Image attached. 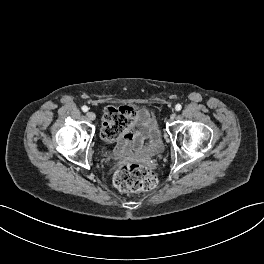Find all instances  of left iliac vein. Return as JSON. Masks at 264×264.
<instances>
[{
  "instance_id": "4c4485c4",
  "label": "left iliac vein",
  "mask_w": 264,
  "mask_h": 264,
  "mask_svg": "<svg viewBox=\"0 0 264 264\" xmlns=\"http://www.w3.org/2000/svg\"><path fill=\"white\" fill-rule=\"evenodd\" d=\"M176 118V113H172L171 115H170V119L171 120H174Z\"/></svg>"
}]
</instances>
